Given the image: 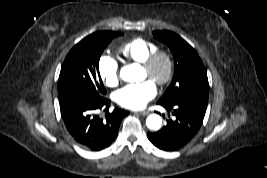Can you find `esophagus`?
<instances>
[{
	"instance_id": "esophagus-1",
	"label": "esophagus",
	"mask_w": 267,
	"mask_h": 178,
	"mask_svg": "<svg viewBox=\"0 0 267 178\" xmlns=\"http://www.w3.org/2000/svg\"><path fill=\"white\" fill-rule=\"evenodd\" d=\"M137 113L140 114V115H143V116H146V115L149 114L148 111H140V112H137Z\"/></svg>"
}]
</instances>
